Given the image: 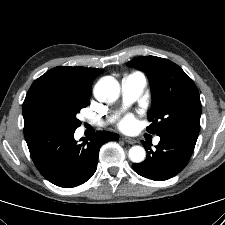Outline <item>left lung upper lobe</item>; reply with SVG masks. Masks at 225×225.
I'll return each instance as SVG.
<instances>
[{
  "instance_id": "1",
  "label": "left lung upper lobe",
  "mask_w": 225,
  "mask_h": 225,
  "mask_svg": "<svg viewBox=\"0 0 225 225\" xmlns=\"http://www.w3.org/2000/svg\"><path fill=\"white\" fill-rule=\"evenodd\" d=\"M127 66L143 70L150 81L152 107L147 130L157 135L171 134L196 142L199 135L201 102L192 79L170 60L143 56Z\"/></svg>"
}]
</instances>
